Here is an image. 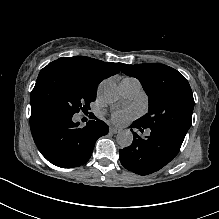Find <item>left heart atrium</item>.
<instances>
[{
	"label": "left heart atrium",
	"instance_id": "1",
	"mask_svg": "<svg viewBox=\"0 0 219 219\" xmlns=\"http://www.w3.org/2000/svg\"><path fill=\"white\" fill-rule=\"evenodd\" d=\"M135 116H136L135 110L129 108V109L114 112L111 115V120L116 125L121 126L126 124L129 120L135 118Z\"/></svg>",
	"mask_w": 219,
	"mask_h": 219
}]
</instances>
